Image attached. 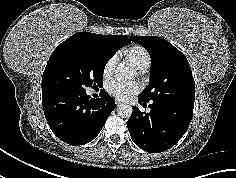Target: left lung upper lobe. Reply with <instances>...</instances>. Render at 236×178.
Masks as SVG:
<instances>
[{
    "instance_id": "left-lung-upper-lobe-1",
    "label": "left lung upper lobe",
    "mask_w": 236,
    "mask_h": 178,
    "mask_svg": "<svg viewBox=\"0 0 236 178\" xmlns=\"http://www.w3.org/2000/svg\"><path fill=\"white\" fill-rule=\"evenodd\" d=\"M150 54V83L139 95L149 102L194 106L195 83L185 55L171 43L156 36H130Z\"/></svg>"
}]
</instances>
